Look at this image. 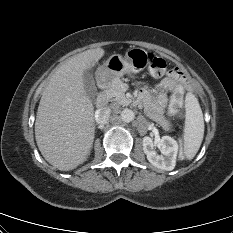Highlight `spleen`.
I'll list each match as a JSON object with an SVG mask.
<instances>
[{
    "instance_id": "1",
    "label": "spleen",
    "mask_w": 233,
    "mask_h": 233,
    "mask_svg": "<svg viewBox=\"0 0 233 233\" xmlns=\"http://www.w3.org/2000/svg\"><path fill=\"white\" fill-rule=\"evenodd\" d=\"M185 107L183 153L188 160H191L198 152L204 137V119L199 102L193 94H187Z\"/></svg>"
}]
</instances>
